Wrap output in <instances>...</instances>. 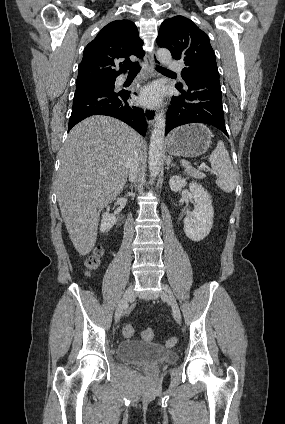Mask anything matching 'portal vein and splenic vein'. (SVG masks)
<instances>
[{
  "mask_svg": "<svg viewBox=\"0 0 285 424\" xmlns=\"http://www.w3.org/2000/svg\"><path fill=\"white\" fill-rule=\"evenodd\" d=\"M200 167H201V168H206V164H205V163H202V164L200 165Z\"/></svg>",
  "mask_w": 285,
  "mask_h": 424,
  "instance_id": "1",
  "label": "portal vein and splenic vein"
}]
</instances>
